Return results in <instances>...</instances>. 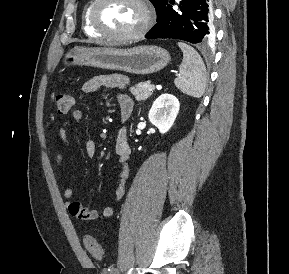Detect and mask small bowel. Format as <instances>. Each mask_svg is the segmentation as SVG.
Returning <instances> with one entry per match:
<instances>
[{
	"mask_svg": "<svg viewBox=\"0 0 289 274\" xmlns=\"http://www.w3.org/2000/svg\"><path fill=\"white\" fill-rule=\"evenodd\" d=\"M128 79L119 74L112 75H100L95 76L84 82L81 91L83 93H92L102 88H118L125 89L128 85ZM118 101L121 109V113L127 111L129 114L133 108V102L126 94H120ZM84 115L81 110H74L71 115V119L64 122L59 129V140L62 146L67 144L68 128L71 122L79 123L83 120ZM97 151L96 142L93 139H88L85 143V153L88 157H94ZM115 151L119 157L121 165V171L118 175L116 187L114 189V202H118L124 195L125 182L129 176V165L128 161L130 158V148L128 144V132L126 127L119 129ZM56 164L61 168L63 163V155L61 152H57L55 156ZM64 198L66 199V206L70 214L80 220L95 221L104 218H109L113 214V208L106 206L102 209L90 208L83 205L81 202L74 201V191L71 187H67L63 192Z\"/></svg>",
	"mask_w": 289,
	"mask_h": 274,
	"instance_id": "small-bowel-1",
	"label": "small bowel"
}]
</instances>
